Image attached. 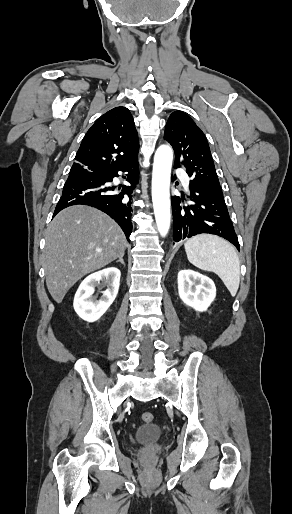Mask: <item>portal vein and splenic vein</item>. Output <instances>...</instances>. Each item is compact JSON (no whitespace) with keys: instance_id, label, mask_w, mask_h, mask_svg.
Listing matches in <instances>:
<instances>
[{"instance_id":"obj_1","label":"portal vein and splenic vein","mask_w":292,"mask_h":514,"mask_svg":"<svg viewBox=\"0 0 292 514\" xmlns=\"http://www.w3.org/2000/svg\"><path fill=\"white\" fill-rule=\"evenodd\" d=\"M96 252H102V250H96Z\"/></svg>"}]
</instances>
